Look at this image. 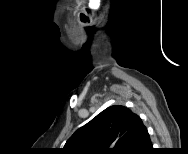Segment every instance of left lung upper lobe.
<instances>
[{
    "label": "left lung upper lobe",
    "mask_w": 188,
    "mask_h": 154,
    "mask_svg": "<svg viewBox=\"0 0 188 154\" xmlns=\"http://www.w3.org/2000/svg\"><path fill=\"white\" fill-rule=\"evenodd\" d=\"M135 115L125 106H110L78 129L63 150L71 154H127Z\"/></svg>",
    "instance_id": "5c2ea615"
}]
</instances>
